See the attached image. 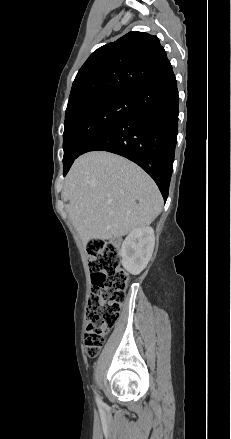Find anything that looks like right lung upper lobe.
I'll return each mask as SVG.
<instances>
[{
  "label": "right lung upper lobe",
  "instance_id": "obj_1",
  "mask_svg": "<svg viewBox=\"0 0 231 439\" xmlns=\"http://www.w3.org/2000/svg\"><path fill=\"white\" fill-rule=\"evenodd\" d=\"M171 71L156 36L130 32L90 55L76 75L66 110L104 94L135 93Z\"/></svg>",
  "mask_w": 231,
  "mask_h": 439
}]
</instances>
